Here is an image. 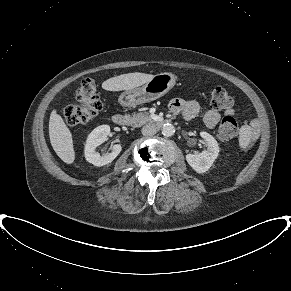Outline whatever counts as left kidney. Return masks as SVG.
<instances>
[{
	"label": "left kidney",
	"instance_id": "obj_1",
	"mask_svg": "<svg viewBox=\"0 0 291 291\" xmlns=\"http://www.w3.org/2000/svg\"><path fill=\"white\" fill-rule=\"evenodd\" d=\"M200 136L206 141L207 149L199 154H187L186 161L197 173H204L214 163L219 154V146L215 138L207 132H200Z\"/></svg>",
	"mask_w": 291,
	"mask_h": 291
}]
</instances>
